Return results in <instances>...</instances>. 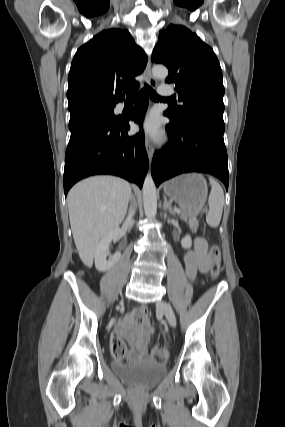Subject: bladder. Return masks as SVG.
<instances>
[{"instance_id": "bladder-1", "label": "bladder", "mask_w": 285, "mask_h": 427, "mask_svg": "<svg viewBox=\"0 0 285 427\" xmlns=\"http://www.w3.org/2000/svg\"><path fill=\"white\" fill-rule=\"evenodd\" d=\"M113 369L124 380L144 387L153 386L166 374L164 366L142 361L117 362Z\"/></svg>"}]
</instances>
